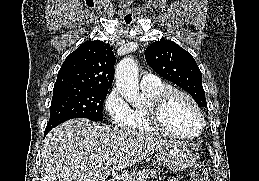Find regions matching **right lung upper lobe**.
Returning <instances> with one entry per match:
<instances>
[{
    "label": "right lung upper lobe",
    "instance_id": "1",
    "mask_svg": "<svg viewBox=\"0 0 259 181\" xmlns=\"http://www.w3.org/2000/svg\"><path fill=\"white\" fill-rule=\"evenodd\" d=\"M113 47L102 41H86L67 56L54 88L109 89L114 79Z\"/></svg>",
    "mask_w": 259,
    "mask_h": 181
}]
</instances>
